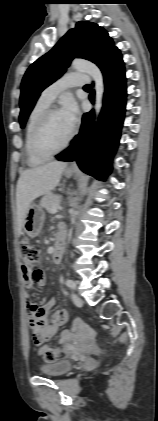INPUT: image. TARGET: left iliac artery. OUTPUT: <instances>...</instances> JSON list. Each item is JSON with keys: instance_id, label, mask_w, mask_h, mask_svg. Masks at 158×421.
Segmentation results:
<instances>
[{"instance_id": "obj_1", "label": "left iliac artery", "mask_w": 158, "mask_h": 421, "mask_svg": "<svg viewBox=\"0 0 158 421\" xmlns=\"http://www.w3.org/2000/svg\"><path fill=\"white\" fill-rule=\"evenodd\" d=\"M65 283L71 289H75L76 288V284H75V282L73 280L68 279V280H66Z\"/></svg>"}]
</instances>
